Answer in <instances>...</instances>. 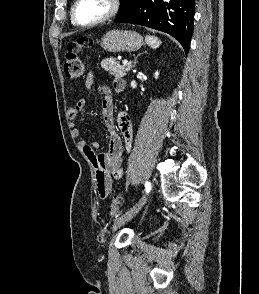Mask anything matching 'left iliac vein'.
Returning <instances> with one entry per match:
<instances>
[{
    "label": "left iliac vein",
    "instance_id": "4c4485c4",
    "mask_svg": "<svg viewBox=\"0 0 259 294\" xmlns=\"http://www.w3.org/2000/svg\"><path fill=\"white\" fill-rule=\"evenodd\" d=\"M147 199L148 195H144L133 207L117 218L112 225V232L118 230L120 227L130 221L141 210Z\"/></svg>",
    "mask_w": 259,
    "mask_h": 294
}]
</instances>
